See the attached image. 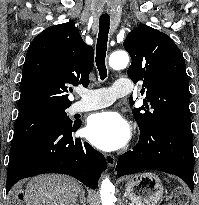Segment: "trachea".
Returning <instances> with one entry per match:
<instances>
[{"instance_id": "1", "label": "trachea", "mask_w": 199, "mask_h": 205, "mask_svg": "<svg viewBox=\"0 0 199 205\" xmlns=\"http://www.w3.org/2000/svg\"><path fill=\"white\" fill-rule=\"evenodd\" d=\"M110 28V18H99V34L96 45V66L99 71L100 79L104 80L107 77V68L105 64L108 33Z\"/></svg>"}]
</instances>
